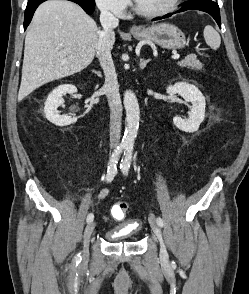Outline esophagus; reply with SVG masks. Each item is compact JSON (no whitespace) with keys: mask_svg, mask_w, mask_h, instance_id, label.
Returning <instances> with one entry per match:
<instances>
[{"mask_svg":"<svg viewBox=\"0 0 249 294\" xmlns=\"http://www.w3.org/2000/svg\"><path fill=\"white\" fill-rule=\"evenodd\" d=\"M130 31L132 33H136V32H140L141 31V28L136 26V25H133L131 28H130Z\"/></svg>","mask_w":249,"mask_h":294,"instance_id":"1","label":"esophagus"}]
</instances>
